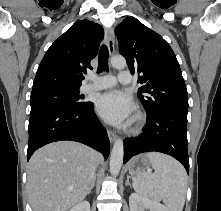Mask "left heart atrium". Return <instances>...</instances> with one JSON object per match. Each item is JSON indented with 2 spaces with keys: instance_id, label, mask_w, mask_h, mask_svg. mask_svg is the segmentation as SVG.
Returning <instances> with one entry per match:
<instances>
[{
  "instance_id": "1",
  "label": "left heart atrium",
  "mask_w": 221,
  "mask_h": 211,
  "mask_svg": "<svg viewBox=\"0 0 221 211\" xmlns=\"http://www.w3.org/2000/svg\"><path fill=\"white\" fill-rule=\"evenodd\" d=\"M96 110L106 121L115 125H124L133 113L134 104L125 93L112 90L99 96Z\"/></svg>"
}]
</instances>
